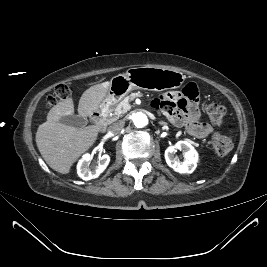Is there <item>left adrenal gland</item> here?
Segmentation results:
<instances>
[{"label": "left adrenal gland", "mask_w": 267, "mask_h": 267, "mask_svg": "<svg viewBox=\"0 0 267 267\" xmlns=\"http://www.w3.org/2000/svg\"><path fill=\"white\" fill-rule=\"evenodd\" d=\"M158 123H159V125H166V123L163 122V121H160V122H158Z\"/></svg>", "instance_id": "a2214340"}]
</instances>
